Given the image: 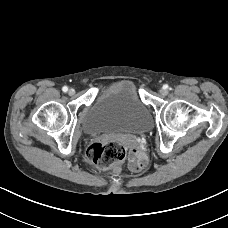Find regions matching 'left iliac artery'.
<instances>
[{
	"label": "left iliac artery",
	"instance_id": "obj_1",
	"mask_svg": "<svg viewBox=\"0 0 228 228\" xmlns=\"http://www.w3.org/2000/svg\"><path fill=\"white\" fill-rule=\"evenodd\" d=\"M164 88H166V89H167V88H168V86H167V85H165V86H164Z\"/></svg>",
	"mask_w": 228,
	"mask_h": 228
}]
</instances>
